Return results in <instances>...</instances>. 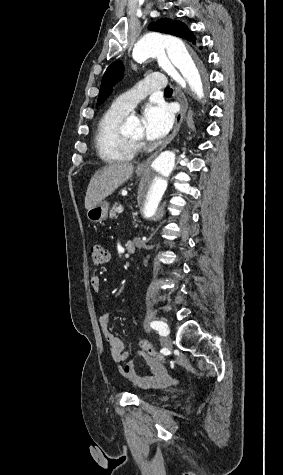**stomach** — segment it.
Segmentation results:
<instances>
[{
  "mask_svg": "<svg viewBox=\"0 0 283 475\" xmlns=\"http://www.w3.org/2000/svg\"><path fill=\"white\" fill-rule=\"evenodd\" d=\"M149 170H144V172H139L138 168L136 170L137 176H144V174H148ZM108 210L109 204L108 202H100L91 210L87 212V218L92 222V224H98V222H103V220H107L108 218Z\"/></svg>",
  "mask_w": 283,
  "mask_h": 475,
  "instance_id": "obj_1",
  "label": "stomach"
}]
</instances>
